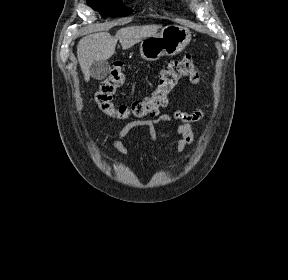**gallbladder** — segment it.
<instances>
[{
	"instance_id": "gallbladder-1",
	"label": "gallbladder",
	"mask_w": 288,
	"mask_h": 280,
	"mask_svg": "<svg viewBox=\"0 0 288 280\" xmlns=\"http://www.w3.org/2000/svg\"><path fill=\"white\" fill-rule=\"evenodd\" d=\"M111 71V66L106 60L94 61L89 68L91 77L102 80L107 77Z\"/></svg>"
}]
</instances>
